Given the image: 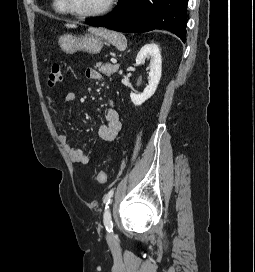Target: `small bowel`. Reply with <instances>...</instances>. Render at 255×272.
Returning a JSON list of instances; mask_svg holds the SVG:
<instances>
[{
  "label": "small bowel",
  "mask_w": 255,
  "mask_h": 272,
  "mask_svg": "<svg viewBox=\"0 0 255 272\" xmlns=\"http://www.w3.org/2000/svg\"><path fill=\"white\" fill-rule=\"evenodd\" d=\"M86 77L94 81H101L103 79L102 74L94 69H87ZM74 99L75 94L73 92L65 95V102H72ZM105 120V123L101 124L98 128V136L104 141H113L120 133L122 124L120 115L112 101L105 108ZM59 140L73 163L86 165L90 162L88 154L80 147L74 145L66 135H60Z\"/></svg>",
  "instance_id": "c3829d8e"
}]
</instances>
